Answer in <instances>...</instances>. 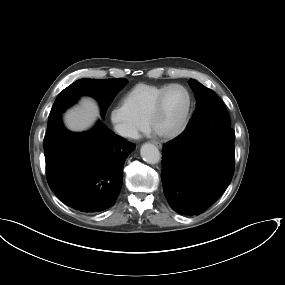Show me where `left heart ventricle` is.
I'll return each mask as SVG.
<instances>
[{"label": "left heart ventricle", "mask_w": 285, "mask_h": 285, "mask_svg": "<svg viewBox=\"0 0 285 285\" xmlns=\"http://www.w3.org/2000/svg\"><path fill=\"white\" fill-rule=\"evenodd\" d=\"M187 105V95L180 87L171 88L164 100L163 108L154 125L158 130L169 131L173 129L182 117Z\"/></svg>", "instance_id": "1"}]
</instances>
